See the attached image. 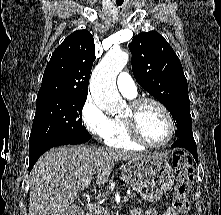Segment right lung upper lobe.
I'll return each instance as SVG.
<instances>
[{
  "instance_id": "1",
  "label": "right lung upper lobe",
  "mask_w": 221,
  "mask_h": 215,
  "mask_svg": "<svg viewBox=\"0 0 221 215\" xmlns=\"http://www.w3.org/2000/svg\"><path fill=\"white\" fill-rule=\"evenodd\" d=\"M95 60L94 39L87 30L70 34L56 48L43 74L37 102L54 97H87Z\"/></svg>"
}]
</instances>
